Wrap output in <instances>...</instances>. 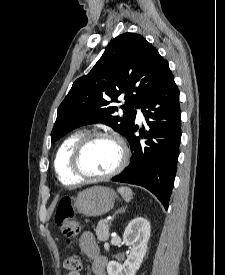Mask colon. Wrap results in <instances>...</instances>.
Returning a JSON list of instances; mask_svg holds the SVG:
<instances>
[{"label": "colon", "instance_id": "1", "mask_svg": "<svg viewBox=\"0 0 225 275\" xmlns=\"http://www.w3.org/2000/svg\"><path fill=\"white\" fill-rule=\"evenodd\" d=\"M55 223L68 238V243L73 244L74 239L79 234L80 226L74 220V209L69 197H63L55 210ZM64 267L68 271L79 272L81 270V259L77 255H71L65 259Z\"/></svg>", "mask_w": 225, "mask_h": 275}]
</instances>
